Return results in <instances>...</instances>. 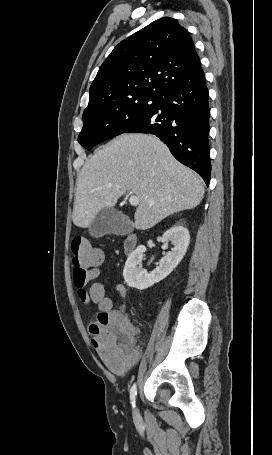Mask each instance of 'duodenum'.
<instances>
[{
	"instance_id": "1",
	"label": "duodenum",
	"mask_w": 272,
	"mask_h": 455,
	"mask_svg": "<svg viewBox=\"0 0 272 455\" xmlns=\"http://www.w3.org/2000/svg\"><path fill=\"white\" fill-rule=\"evenodd\" d=\"M138 244V237L136 234H128L124 240V252L130 256L136 249Z\"/></svg>"
}]
</instances>
